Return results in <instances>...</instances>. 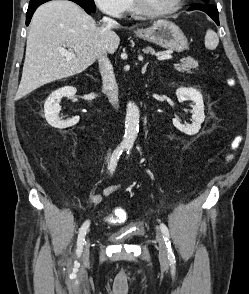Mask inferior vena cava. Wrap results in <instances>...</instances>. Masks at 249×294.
I'll use <instances>...</instances> for the list:
<instances>
[{"mask_svg":"<svg viewBox=\"0 0 249 294\" xmlns=\"http://www.w3.org/2000/svg\"><path fill=\"white\" fill-rule=\"evenodd\" d=\"M103 23L107 26V28H111L117 25L115 20L108 17H103ZM98 62L103 80V92L107 95L109 101L118 107V86L112 64L107 57L106 51H102L100 53L98 56Z\"/></svg>","mask_w":249,"mask_h":294,"instance_id":"1","label":"inferior vena cava"}]
</instances>
